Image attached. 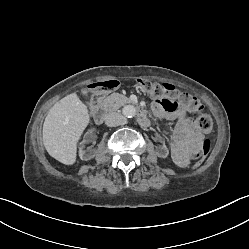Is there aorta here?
<instances>
[{"instance_id": "obj_1", "label": "aorta", "mask_w": 249, "mask_h": 249, "mask_svg": "<svg viewBox=\"0 0 249 249\" xmlns=\"http://www.w3.org/2000/svg\"><path fill=\"white\" fill-rule=\"evenodd\" d=\"M122 113L125 117L132 118L136 115V108L132 105H126L123 108Z\"/></svg>"}]
</instances>
